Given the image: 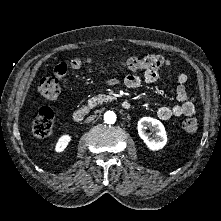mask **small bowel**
Wrapping results in <instances>:
<instances>
[{"label":"small bowel","instance_id":"1","mask_svg":"<svg viewBox=\"0 0 221 221\" xmlns=\"http://www.w3.org/2000/svg\"><path fill=\"white\" fill-rule=\"evenodd\" d=\"M158 79V73L152 71H145L143 76L136 74H129L125 76L122 83L127 88H138L143 83H153ZM176 80L178 83L176 89V103L171 106H161L156 109L155 116L159 120L165 121L171 118L186 116L191 117L195 115L196 108L194 100L189 96L185 84L188 81V76L184 72H180L176 75ZM110 85H117L121 83L119 79H110L107 81Z\"/></svg>","mask_w":221,"mask_h":221}]
</instances>
